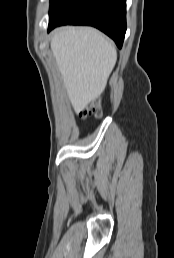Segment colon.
<instances>
[{"mask_svg":"<svg viewBox=\"0 0 174 258\" xmlns=\"http://www.w3.org/2000/svg\"><path fill=\"white\" fill-rule=\"evenodd\" d=\"M101 111H102L101 102L99 100H94L93 102H91L89 105H87L80 111V116L82 118H87L91 115L98 117L101 115Z\"/></svg>","mask_w":174,"mask_h":258,"instance_id":"obj_1","label":"colon"}]
</instances>
